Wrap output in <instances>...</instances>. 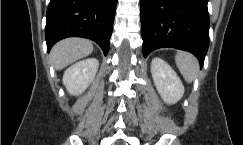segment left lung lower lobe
Wrapping results in <instances>:
<instances>
[{"label": "left lung lower lobe", "mask_w": 243, "mask_h": 145, "mask_svg": "<svg viewBox=\"0 0 243 145\" xmlns=\"http://www.w3.org/2000/svg\"><path fill=\"white\" fill-rule=\"evenodd\" d=\"M208 0H140L143 55L172 47L193 53L203 65L209 46Z\"/></svg>", "instance_id": "left-lung-lower-lobe-1"}]
</instances>
